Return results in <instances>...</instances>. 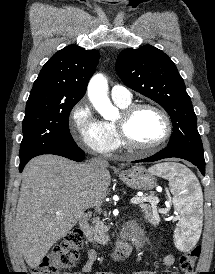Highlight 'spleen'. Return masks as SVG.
<instances>
[{"instance_id":"spleen-1","label":"spleen","mask_w":215,"mask_h":274,"mask_svg":"<svg viewBox=\"0 0 215 274\" xmlns=\"http://www.w3.org/2000/svg\"><path fill=\"white\" fill-rule=\"evenodd\" d=\"M151 173L169 180L174 209L180 213L174 231L176 244L188 240L194 244L201 233V210L203 195L196 176L185 166L177 163H162L149 169Z\"/></svg>"}]
</instances>
